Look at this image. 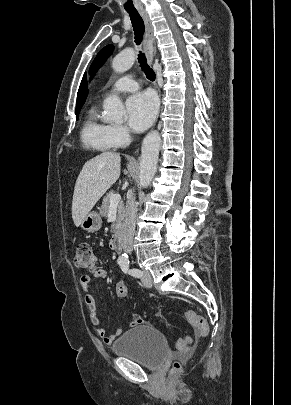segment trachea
<instances>
[{
    "mask_svg": "<svg viewBox=\"0 0 291 405\" xmlns=\"http://www.w3.org/2000/svg\"><path fill=\"white\" fill-rule=\"evenodd\" d=\"M128 13H129V16H130V19L132 22V26H133V30H134V34H135V43L137 45H139L142 41L144 30H145L143 19L141 18V16L139 15V13L137 11H128ZM138 60H139L140 66L142 67V70L144 71L146 77L150 81H154L155 72L147 64L145 54L140 52L138 55Z\"/></svg>",
    "mask_w": 291,
    "mask_h": 405,
    "instance_id": "3493384b",
    "label": "trachea"
}]
</instances>
